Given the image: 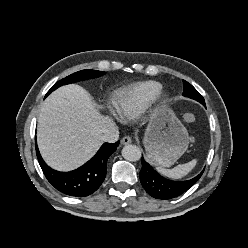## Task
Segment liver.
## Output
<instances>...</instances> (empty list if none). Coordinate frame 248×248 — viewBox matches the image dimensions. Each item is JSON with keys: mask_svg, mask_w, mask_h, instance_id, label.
<instances>
[{"mask_svg": "<svg viewBox=\"0 0 248 248\" xmlns=\"http://www.w3.org/2000/svg\"><path fill=\"white\" fill-rule=\"evenodd\" d=\"M116 128L109 116L96 109L89 93L79 85L60 87L43 102L37 143L46 163L59 171L73 170L99 149L102 135Z\"/></svg>", "mask_w": 248, "mask_h": 248, "instance_id": "1", "label": "liver"}]
</instances>
